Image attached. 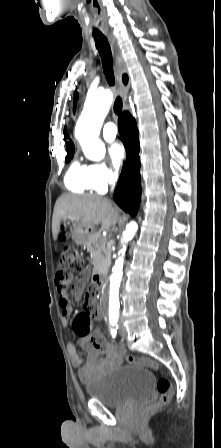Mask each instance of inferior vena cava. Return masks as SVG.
<instances>
[{"instance_id": "1", "label": "inferior vena cava", "mask_w": 221, "mask_h": 448, "mask_svg": "<svg viewBox=\"0 0 221 448\" xmlns=\"http://www.w3.org/2000/svg\"><path fill=\"white\" fill-rule=\"evenodd\" d=\"M116 179H117V175H116V174H113V173H111V175H110V182H111L112 184H114V183H115V181H116Z\"/></svg>"}]
</instances>
